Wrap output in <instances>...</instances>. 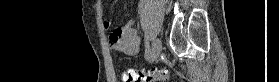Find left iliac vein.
<instances>
[{
    "instance_id": "4c4485c4",
    "label": "left iliac vein",
    "mask_w": 279,
    "mask_h": 82,
    "mask_svg": "<svg viewBox=\"0 0 279 82\" xmlns=\"http://www.w3.org/2000/svg\"><path fill=\"white\" fill-rule=\"evenodd\" d=\"M161 50H162L161 40L159 38H155L152 44L150 62H155L159 58L161 54Z\"/></svg>"
}]
</instances>
